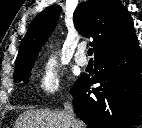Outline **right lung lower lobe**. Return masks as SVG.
Instances as JSON below:
<instances>
[{
    "instance_id": "right-lung-lower-lobe-1",
    "label": "right lung lower lobe",
    "mask_w": 142,
    "mask_h": 128,
    "mask_svg": "<svg viewBox=\"0 0 142 128\" xmlns=\"http://www.w3.org/2000/svg\"><path fill=\"white\" fill-rule=\"evenodd\" d=\"M94 80L81 77L72 90L78 117L90 128H130L140 123L142 51L138 41L94 61ZM100 83L90 89L91 84ZM92 94V96H91Z\"/></svg>"
}]
</instances>
